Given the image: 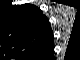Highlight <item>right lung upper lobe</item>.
Returning a JSON list of instances; mask_svg holds the SVG:
<instances>
[{"mask_svg": "<svg viewBox=\"0 0 80 60\" xmlns=\"http://www.w3.org/2000/svg\"><path fill=\"white\" fill-rule=\"evenodd\" d=\"M8 19V39L13 46L33 55L42 53L48 46L46 17L36 6H11Z\"/></svg>", "mask_w": 80, "mask_h": 60, "instance_id": "right-lung-upper-lobe-1", "label": "right lung upper lobe"}]
</instances>
